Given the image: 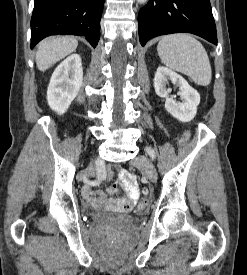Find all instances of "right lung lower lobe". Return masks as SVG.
I'll list each match as a JSON object with an SVG mask.
<instances>
[{"label": "right lung lower lobe", "mask_w": 247, "mask_h": 275, "mask_svg": "<svg viewBox=\"0 0 247 275\" xmlns=\"http://www.w3.org/2000/svg\"><path fill=\"white\" fill-rule=\"evenodd\" d=\"M104 0H35L31 48L50 35H80L95 48Z\"/></svg>", "instance_id": "right-lung-lower-lobe-1"}]
</instances>
